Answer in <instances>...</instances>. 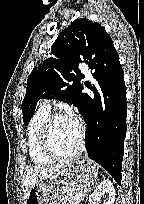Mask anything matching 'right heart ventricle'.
Here are the masks:
<instances>
[{"label":"right heart ventricle","instance_id":"right-heart-ventricle-1","mask_svg":"<svg viewBox=\"0 0 144 204\" xmlns=\"http://www.w3.org/2000/svg\"><path fill=\"white\" fill-rule=\"evenodd\" d=\"M49 116L50 109L40 106L33 114L28 125V151L32 162L36 165H47L53 162V159L43 151L41 143L42 131Z\"/></svg>","mask_w":144,"mask_h":204}]
</instances>
